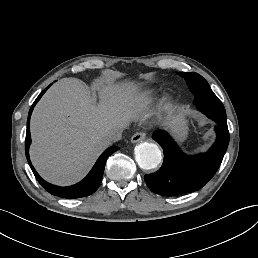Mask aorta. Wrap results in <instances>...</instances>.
Returning a JSON list of instances; mask_svg holds the SVG:
<instances>
[{"instance_id": "762f6f07", "label": "aorta", "mask_w": 258, "mask_h": 258, "mask_svg": "<svg viewBox=\"0 0 258 258\" xmlns=\"http://www.w3.org/2000/svg\"><path fill=\"white\" fill-rule=\"evenodd\" d=\"M135 159L140 168L154 169L162 160L161 150L154 143H140L135 147Z\"/></svg>"}]
</instances>
